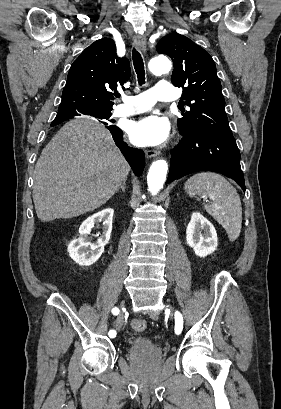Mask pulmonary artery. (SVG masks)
<instances>
[{
	"label": "pulmonary artery",
	"instance_id": "pulmonary-artery-1",
	"mask_svg": "<svg viewBox=\"0 0 281 409\" xmlns=\"http://www.w3.org/2000/svg\"><path fill=\"white\" fill-rule=\"evenodd\" d=\"M158 90H144L142 94H133L132 102H123L122 107L116 106L113 114L117 117L129 116L152 108L156 102H172L176 93L174 81H159Z\"/></svg>",
	"mask_w": 281,
	"mask_h": 409
}]
</instances>
